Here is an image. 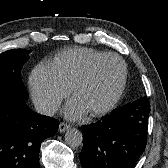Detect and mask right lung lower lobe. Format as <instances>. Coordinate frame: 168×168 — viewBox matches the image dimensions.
<instances>
[{
	"mask_svg": "<svg viewBox=\"0 0 168 168\" xmlns=\"http://www.w3.org/2000/svg\"><path fill=\"white\" fill-rule=\"evenodd\" d=\"M58 125L31 111L25 100L0 95V168H39L41 143Z\"/></svg>",
	"mask_w": 168,
	"mask_h": 168,
	"instance_id": "right-lung-lower-lobe-1",
	"label": "right lung lower lobe"
}]
</instances>
